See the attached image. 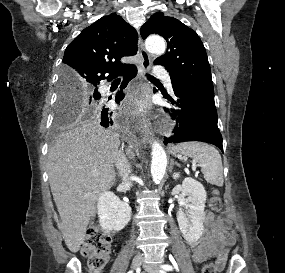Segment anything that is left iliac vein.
I'll return each instance as SVG.
<instances>
[{
    "label": "left iliac vein",
    "instance_id": "obj_1",
    "mask_svg": "<svg viewBox=\"0 0 285 273\" xmlns=\"http://www.w3.org/2000/svg\"><path fill=\"white\" fill-rule=\"evenodd\" d=\"M143 267L148 273H160L159 267L155 264L144 263Z\"/></svg>",
    "mask_w": 285,
    "mask_h": 273
}]
</instances>
